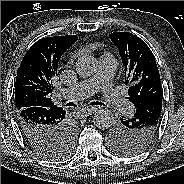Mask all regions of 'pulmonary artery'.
<instances>
[{"mask_svg": "<svg viewBox=\"0 0 184 184\" xmlns=\"http://www.w3.org/2000/svg\"><path fill=\"white\" fill-rule=\"evenodd\" d=\"M116 67V59L111 55H104L99 59V68L95 75L64 89L62 93L69 99L78 100L101 90L103 99L110 105L112 111L129 114L132 112V105L112 85Z\"/></svg>", "mask_w": 184, "mask_h": 184, "instance_id": "obj_1", "label": "pulmonary artery"}]
</instances>
